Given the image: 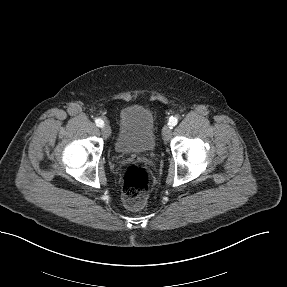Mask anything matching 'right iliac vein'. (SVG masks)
<instances>
[{
  "label": "right iliac vein",
  "instance_id": "1",
  "mask_svg": "<svg viewBox=\"0 0 287 287\" xmlns=\"http://www.w3.org/2000/svg\"><path fill=\"white\" fill-rule=\"evenodd\" d=\"M102 134L105 138H108L111 135V129L109 125L105 124L102 127Z\"/></svg>",
  "mask_w": 287,
  "mask_h": 287
}]
</instances>
